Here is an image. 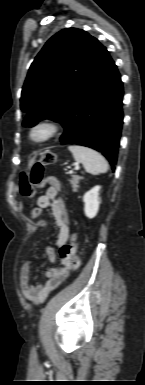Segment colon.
I'll return each instance as SVG.
<instances>
[{
  "mask_svg": "<svg viewBox=\"0 0 145 385\" xmlns=\"http://www.w3.org/2000/svg\"><path fill=\"white\" fill-rule=\"evenodd\" d=\"M56 161L55 153L48 152L42 155V157L29 169L25 170L21 174L20 178V192L27 197H32L37 188L44 183V169L46 166L53 164ZM41 215V211L34 208L32 216L38 218ZM78 246V241L75 236L71 238L69 244H64L60 248V256L62 259L69 260L73 268H77L79 265L78 259L75 256Z\"/></svg>",
  "mask_w": 145,
  "mask_h": 385,
  "instance_id": "5ec220e1",
  "label": "colon"
}]
</instances>
